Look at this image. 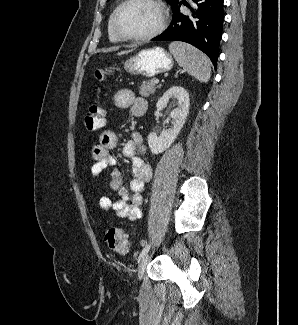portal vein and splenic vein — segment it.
<instances>
[{"label": "portal vein and splenic vein", "instance_id": "portal-vein-and-splenic-vein-1", "mask_svg": "<svg viewBox=\"0 0 298 325\" xmlns=\"http://www.w3.org/2000/svg\"><path fill=\"white\" fill-rule=\"evenodd\" d=\"M154 82H156V84H158V82H159L158 78H156V80H154Z\"/></svg>", "mask_w": 298, "mask_h": 325}]
</instances>
